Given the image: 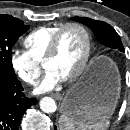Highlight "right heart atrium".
I'll list each match as a JSON object with an SVG mask.
<instances>
[{"label":"right heart atrium","instance_id":"1","mask_svg":"<svg viewBox=\"0 0 130 130\" xmlns=\"http://www.w3.org/2000/svg\"><path fill=\"white\" fill-rule=\"evenodd\" d=\"M10 63L17 76L29 85H35L41 74L40 64L26 51L15 49L10 56Z\"/></svg>","mask_w":130,"mask_h":130}]
</instances>
